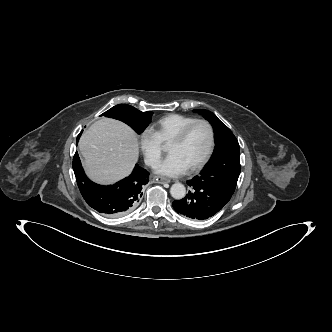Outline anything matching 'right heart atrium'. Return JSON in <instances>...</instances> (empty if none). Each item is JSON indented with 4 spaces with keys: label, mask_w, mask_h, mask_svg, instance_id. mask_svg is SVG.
Masks as SVG:
<instances>
[{
    "label": "right heart atrium",
    "mask_w": 332,
    "mask_h": 332,
    "mask_svg": "<svg viewBox=\"0 0 332 332\" xmlns=\"http://www.w3.org/2000/svg\"><path fill=\"white\" fill-rule=\"evenodd\" d=\"M139 147L145 163L155 167L161 157L162 145L151 129H145L140 133Z\"/></svg>",
    "instance_id": "1"
}]
</instances>
